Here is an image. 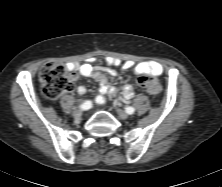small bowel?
<instances>
[{
	"mask_svg": "<svg viewBox=\"0 0 222 187\" xmlns=\"http://www.w3.org/2000/svg\"><path fill=\"white\" fill-rule=\"evenodd\" d=\"M108 63L113 66H120L122 72L129 70L133 71L134 76L139 75H151L159 76L163 72V67L160 63L155 61H141L134 63L133 61H125L121 63L119 59L108 58ZM68 68L76 73V75H81L84 77H91L96 82L100 84V92L96 97V102L98 104H103L106 96H113L117 93V89L108 84L107 75H116L117 71L111 68H95L90 63H69ZM87 88L85 85H79L76 88V92L79 95L85 94ZM122 97L126 100L132 99L134 97V90L131 85H124L122 88Z\"/></svg>",
	"mask_w": 222,
	"mask_h": 187,
	"instance_id": "c3829d8e",
	"label": "small bowel"
}]
</instances>
